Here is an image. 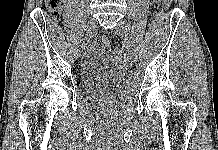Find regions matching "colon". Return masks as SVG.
I'll return each mask as SVG.
<instances>
[{
	"mask_svg": "<svg viewBox=\"0 0 218 150\" xmlns=\"http://www.w3.org/2000/svg\"><path fill=\"white\" fill-rule=\"evenodd\" d=\"M62 3V0H45L46 8L52 18L56 19L59 16ZM165 8L166 5L164 0H149L148 2V11L153 16H161ZM95 45L101 51L109 52L111 50V43L104 36H99L96 39Z\"/></svg>",
	"mask_w": 218,
	"mask_h": 150,
	"instance_id": "5ec220e1",
	"label": "colon"
}]
</instances>
